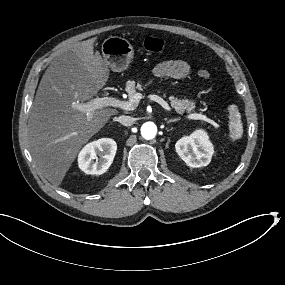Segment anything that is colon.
<instances>
[{"mask_svg": "<svg viewBox=\"0 0 285 285\" xmlns=\"http://www.w3.org/2000/svg\"><path fill=\"white\" fill-rule=\"evenodd\" d=\"M143 46L145 50L149 52L159 53L167 49L168 43L165 40L149 37L145 39ZM197 75L203 79L210 77V72L205 69H200L197 71Z\"/></svg>", "mask_w": 285, "mask_h": 285, "instance_id": "1", "label": "colon"}]
</instances>
